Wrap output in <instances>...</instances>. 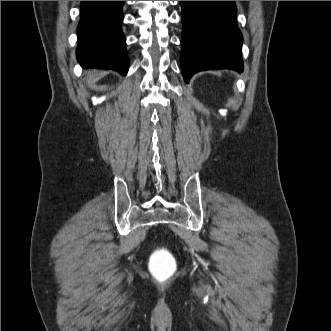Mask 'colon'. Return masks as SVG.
I'll use <instances>...</instances> for the list:
<instances>
[{"label":"colon","instance_id":"1","mask_svg":"<svg viewBox=\"0 0 331 331\" xmlns=\"http://www.w3.org/2000/svg\"><path fill=\"white\" fill-rule=\"evenodd\" d=\"M176 261L165 249L156 250L150 259V270L152 275L159 281L165 282L176 272Z\"/></svg>","mask_w":331,"mask_h":331}]
</instances>
